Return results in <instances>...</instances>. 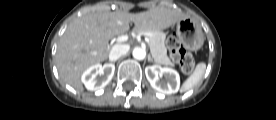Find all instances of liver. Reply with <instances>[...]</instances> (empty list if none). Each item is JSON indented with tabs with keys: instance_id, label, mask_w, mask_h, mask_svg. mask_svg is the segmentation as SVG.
Masks as SVG:
<instances>
[{
	"instance_id": "obj_1",
	"label": "liver",
	"mask_w": 276,
	"mask_h": 120,
	"mask_svg": "<svg viewBox=\"0 0 276 120\" xmlns=\"http://www.w3.org/2000/svg\"><path fill=\"white\" fill-rule=\"evenodd\" d=\"M187 17L177 9L155 7L146 12H96L74 20L60 39L56 65L60 78L77 91H83L81 74L90 66L107 60L111 51L108 41L129 30L167 29Z\"/></svg>"
}]
</instances>
